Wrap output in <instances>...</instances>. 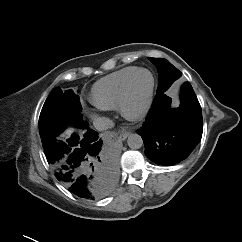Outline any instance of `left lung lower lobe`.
I'll list each match as a JSON object with an SVG mask.
<instances>
[{"label": "left lung lower lobe", "instance_id": "1", "mask_svg": "<svg viewBox=\"0 0 242 242\" xmlns=\"http://www.w3.org/2000/svg\"><path fill=\"white\" fill-rule=\"evenodd\" d=\"M202 110L189 82L181 87L180 106L171 107L165 93L156 95L143 126L137 130L145 145V155L159 165L184 161L200 142Z\"/></svg>", "mask_w": 242, "mask_h": 242}]
</instances>
